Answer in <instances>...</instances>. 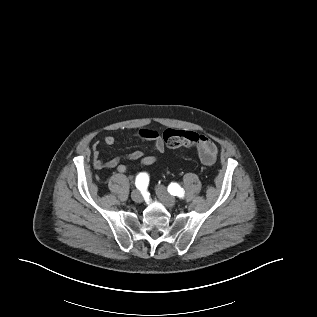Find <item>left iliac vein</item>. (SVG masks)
<instances>
[{"instance_id":"4c4485c4","label":"left iliac vein","mask_w":317,"mask_h":317,"mask_svg":"<svg viewBox=\"0 0 317 317\" xmlns=\"http://www.w3.org/2000/svg\"><path fill=\"white\" fill-rule=\"evenodd\" d=\"M156 195L160 199V201L168 208L173 207L175 205V197L170 195L163 185H158L155 188Z\"/></svg>"}]
</instances>
